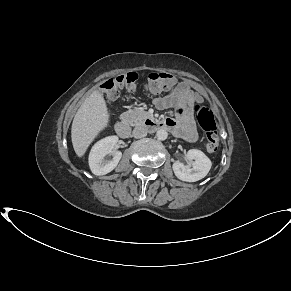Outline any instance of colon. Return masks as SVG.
Here are the masks:
<instances>
[{
	"mask_svg": "<svg viewBox=\"0 0 291 291\" xmlns=\"http://www.w3.org/2000/svg\"><path fill=\"white\" fill-rule=\"evenodd\" d=\"M138 81V74L129 72L104 81L100 89L108 101H114L119 97L121 90L131 91L135 89ZM143 82L149 92L158 94L171 89L175 85L176 78L168 72H152L143 78ZM195 115L198 124L205 132L206 148L210 152H215L219 147V136L216 120L212 112L196 104Z\"/></svg>",
	"mask_w": 291,
	"mask_h": 291,
	"instance_id": "5ec220e1",
	"label": "colon"
}]
</instances>
